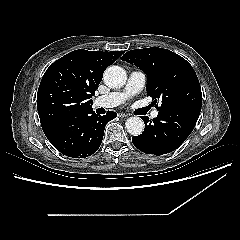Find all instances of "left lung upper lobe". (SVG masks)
<instances>
[{
	"label": "left lung upper lobe",
	"instance_id": "1",
	"mask_svg": "<svg viewBox=\"0 0 240 240\" xmlns=\"http://www.w3.org/2000/svg\"><path fill=\"white\" fill-rule=\"evenodd\" d=\"M122 60L135 64L147 75L146 91L159 112L201 108L202 93L192 66L176 53L158 47L126 52ZM157 107V105H156Z\"/></svg>",
	"mask_w": 240,
	"mask_h": 240
}]
</instances>
